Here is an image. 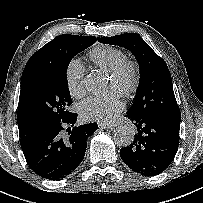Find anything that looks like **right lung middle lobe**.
Returning <instances> with one entry per match:
<instances>
[{
  "label": "right lung middle lobe",
  "instance_id": "right-lung-middle-lobe-1",
  "mask_svg": "<svg viewBox=\"0 0 203 203\" xmlns=\"http://www.w3.org/2000/svg\"><path fill=\"white\" fill-rule=\"evenodd\" d=\"M95 42L94 37L78 39L59 50L51 60L24 69L19 105L39 130L71 115L67 67L75 55Z\"/></svg>",
  "mask_w": 203,
  "mask_h": 203
}]
</instances>
